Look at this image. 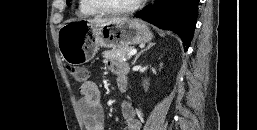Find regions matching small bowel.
Returning a JSON list of instances; mask_svg holds the SVG:
<instances>
[{
    "instance_id": "small-bowel-1",
    "label": "small bowel",
    "mask_w": 257,
    "mask_h": 130,
    "mask_svg": "<svg viewBox=\"0 0 257 130\" xmlns=\"http://www.w3.org/2000/svg\"><path fill=\"white\" fill-rule=\"evenodd\" d=\"M110 70L116 75V82L126 83L128 67L124 63L114 62L110 64ZM81 99L79 101L83 122L86 130H104L105 117L101 104L99 88L92 81H85L80 87ZM123 117L122 130H140V122L132 105L128 102L121 104Z\"/></svg>"
}]
</instances>
